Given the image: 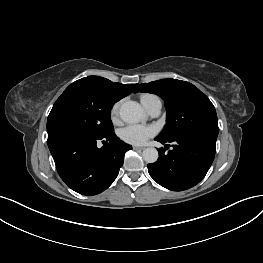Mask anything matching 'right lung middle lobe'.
Listing matches in <instances>:
<instances>
[{"label":"right lung middle lobe","instance_id":"right-lung-middle-lobe-1","mask_svg":"<svg viewBox=\"0 0 263 263\" xmlns=\"http://www.w3.org/2000/svg\"><path fill=\"white\" fill-rule=\"evenodd\" d=\"M115 102L89 87L68 86L48 116V138L64 133L96 136L114 133L110 110Z\"/></svg>","mask_w":263,"mask_h":263}]
</instances>
